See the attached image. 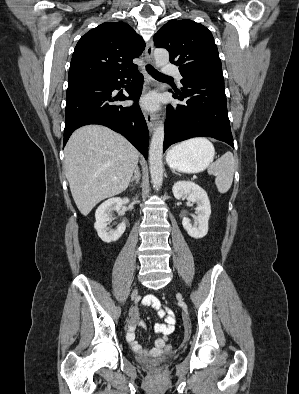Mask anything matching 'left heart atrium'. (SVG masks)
<instances>
[{"label":"left heart atrium","instance_id":"1","mask_svg":"<svg viewBox=\"0 0 299 394\" xmlns=\"http://www.w3.org/2000/svg\"><path fill=\"white\" fill-rule=\"evenodd\" d=\"M142 105L148 109H156L159 106V97L156 94H150L143 98Z\"/></svg>","mask_w":299,"mask_h":394}]
</instances>
